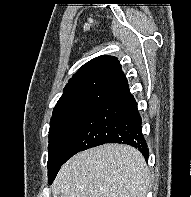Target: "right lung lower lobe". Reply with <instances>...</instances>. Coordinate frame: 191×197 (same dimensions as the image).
I'll use <instances>...</instances> for the list:
<instances>
[{"label":"right lung lower lobe","mask_w":191,"mask_h":197,"mask_svg":"<svg viewBox=\"0 0 191 197\" xmlns=\"http://www.w3.org/2000/svg\"><path fill=\"white\" fill-rule=\"evenodd\" d=\"M137 103L125 83L103 97L87 116L66 156L105 143H123L137 148L148 160Z\"/></svg>","instance_id":"1"}]
</instances>
